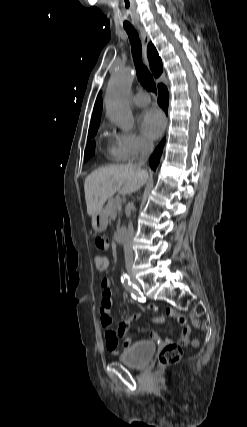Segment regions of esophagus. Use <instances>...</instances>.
Here are the masks:
<instances>
[{
    "label": "esophagus",
    "mask_w": 247,
    "mask_h": 427,
    "mask_svg": "<svg viewBox=\"0 0 247 427\" xmlns=\"http://www.w3.org/2000/svg\"><path fill=\"white\" fill-rule=\"evenodd\" d=\"M138 31L140 33L141 41H142V47H143V57L144 62L146 65H148V59H147V47L150 42L149 35L147 34L146 30L142 26H138Z\"/></svg>",
    "instance_id": "1"
}]
</instances>
